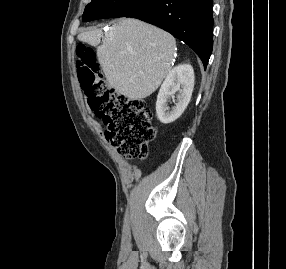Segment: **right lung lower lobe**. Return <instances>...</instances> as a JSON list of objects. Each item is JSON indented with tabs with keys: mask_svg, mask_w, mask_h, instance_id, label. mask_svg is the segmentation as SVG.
I'll list each match as a JSON object with an SVG mask.
<instances>
[{
	"mask_svg": "<svg viewBox=\"0 0 286 269\" xmlns=\"http://www.w3.org/2000/svg\"><path fill=\"white\" fill-rule=\"evenodd\" d=\"M212 0H152L127 17L156 25L185 42L207 67L213 48Z\"/></svg>",
	"mask_w": 286,
	"mask_h": 269,
	"instance_id": "obj_1",
	"label": "right lung lower lobe"
}]
</instances>
